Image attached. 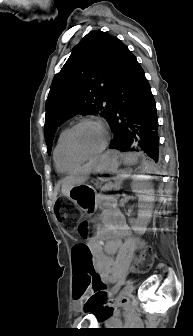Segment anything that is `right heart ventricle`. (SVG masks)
<instances>
[{
  "label": "right heart ventricle",
  "mask_w": 193,
  "mask_h": 336,
  "mask_svg": "<svg viewBox=\"0 0 193 336\" xmlns=\"http://www.w3.org/2000/svg\"><path fill=\"white\" fill-rule=\"evenodd\" d=\"M67 131V128L60 131L53 152L54 163L60 173L74 172L84 161L83 159L73 158L68 154L65 146Z\"/></svg>",
  "instance_id": "obj_1"
}]
</instances>
